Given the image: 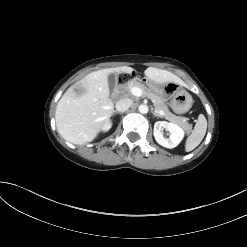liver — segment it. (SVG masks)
<instances>
[{"mask_svg":"<svg viewBox=\"0 0 247 247\" xmlns=\"http://www.w3.org/2000/svg\"><path fill=\"white\" fill-rule=\"evenodd\" d=\"M133 68L123 66L91 72L70 87L59 100L55 120L58 133L67 141L82 145L93 141L114 112V102L109 98L108 75L132 73ZM146 78L155 84L185 83L173 73L149 67ZM81 86L84 93L77 95L74 88Z\"/></svg>","mask_w":247,"mask_h":247,"instance_id":"1","label":"liver"}]
</instances>
